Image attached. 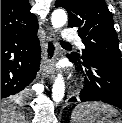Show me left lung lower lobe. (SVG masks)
<instances>
[{
	"instance_id": "obj_1",
	"label": "left lung lower lobe",
	"mask_w": 122,
	"mask_h": 123,
	"mask_svg": "<svg viewBox=\"0 0 122 123\" xmlns=\"http://www.w3.org/2000/svg\"><path fill=\"white\" fill-rule=\"evenodd\" d=\"M69 60L84 73L86 68L85 86L80 92L81 102L102 101L122 109V63L113 59L91 57L82 60L77 56L68 55ZM69 101L76 102L73 97Z\"/></svg>"
}]
</instances>
